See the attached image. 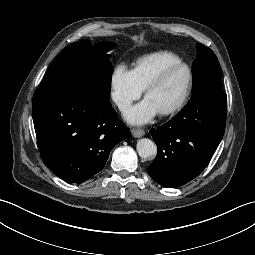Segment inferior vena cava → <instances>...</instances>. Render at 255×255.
I'll return each mask as SVG.
<instances>
[{
    "label": "inferior vena cava",
    "mask_w": 255,
    "mask_h": 255,
    "mask_svg": "<svg viewBox=\"0 0 255 255\" xmlns=\"http://www.w3.org/2000/svg\"><path fill=\"white\" fill-rule=\"evenodd\" d=\"M115 102L121 111L127 110L131 105L130 101H128L122 97H116Z\"/></svg>",
    "instance_id": "602c4592"
}]
</instances>
